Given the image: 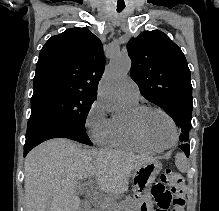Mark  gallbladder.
I'll use <instances>...</instances> for the list:
<instances>
[{"instance_id": "obj_1", "label": "gallbladder", "mask_w": 219, "mask_h": 211, "mask_svg": "<svg viewBox=\"0 0 219 211\" xmlns=\"http://www.w3.org/2000/svg\"><path fill=\"white\" fill-rule=\"evenodd\" d=\"M78 211H89V207L87 205H81L80 209Z\"/></svg>"}]
</instances>
